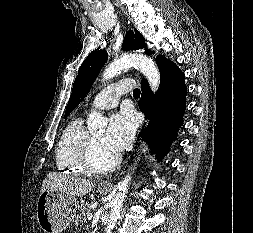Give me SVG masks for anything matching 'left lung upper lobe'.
<instances>
[{"instance_id":"left-lung-upper-lobe-1","label":"left lung upper lobe","mask_w":253,"mask_h":233,"mask_svg":"<svg viewBox=\"0 0 253 233\" xmlns=\"http://www.w3.org/2000/svg\"><path fill=\"white\" fill-rule=\"evenodd\" d=\"M144 37L135 29L128 31L123 42V50H138L146 48ZM146 54L151 55L152 52L146 49ZM154 53V52H153ZM108 54L105 50H95L91 52L82 63L79 73L75 79L71 97L68 101L65 116L69 115L74 108L82 101L89 92L95 78L99 74L101 68L106 63Z\"/></svg>"}]
</instances>
